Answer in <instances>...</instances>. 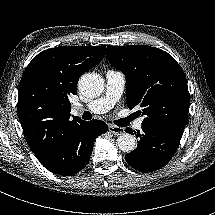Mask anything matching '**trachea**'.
<instances>
[{"label":"trachea","mask_w":215,"mask_h":215,"mask_svg":"<svg viewBox=\"0 0 215 215\" xmlns=\"http://www.w3.org/2000/svg\"><path fill=\"white\" fill-rule=\"evenodd\" d=\"M82 118L84 120H90L92 118V114L88 111H85ZM135 119V116L134 114L124 118V119H119L118 122H117V125L118 126H122V127H126L129 125L130 121L134 120Z\"/></svg>","instance_id":"obj_1"}]
</instances>
